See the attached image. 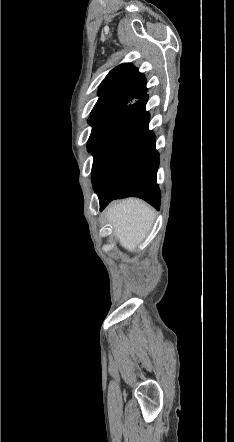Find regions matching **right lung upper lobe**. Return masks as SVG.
Returning a JSON list of instances; mask_svg holds the SVG:
<instances>
[{
  "instance_id": "1",
  "label": "right lung upper lobe",
  "mask_w": 234,
  "mask_h": 442,
  "mask_svg": "<svg viewBox=\"0 0 234 442\" xmlns=\"http://www.w3.org/2000/svg\"><path fill=\"white\" fill-rule=\"evenodd\" d=\"M146 82L145 76L130 63L115 67L99 86V99L90 117L118 114L146 94Z\"/></svg>"
}]
</instances>
